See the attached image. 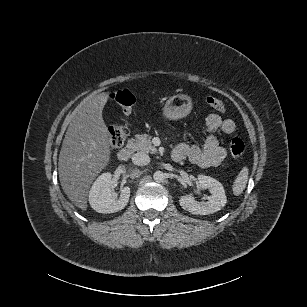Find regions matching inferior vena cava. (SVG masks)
<instances>
[{"instance_id": "inferior-vena-cava-1", "label": "inferior vena cava", "mask_w": 307, "mask_h": 307, "mask_svg": "<svg viewBox=\"0 0 307 307\" xmlns=\"http://www.w3.org/2000/svg\"><path fill=\"white\" fill-rule=\"evenodd\" d=\"M150 162V159L147 155L143 153H136L132 156V163L137 166H144Z\"/></svg>"}]
</instances>
